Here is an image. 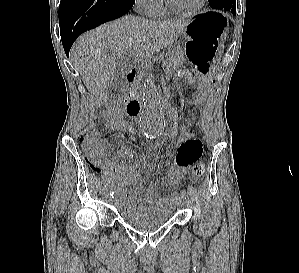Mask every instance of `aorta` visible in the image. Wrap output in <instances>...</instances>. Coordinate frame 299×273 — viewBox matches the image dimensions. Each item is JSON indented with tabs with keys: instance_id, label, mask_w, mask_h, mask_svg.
Listing matches in <instances>:
<instances>
[{
	"instance_id": "1",
	"label": "aorta",
	"mask_w": 299,
	"mask_h": 273,
	"mask_svg": "<svg viewBox=\"0 0 299 273\" xmlns=\"http://www.w3.org/2000/svg\"><path fill=\"white\" fill-rule=\"evenodd\" d=\"M139 124L143 134L150 139L159 136L165 128L160 96L151 78L145 82L144 104Z\"/></svg>"
}]
</instances>
